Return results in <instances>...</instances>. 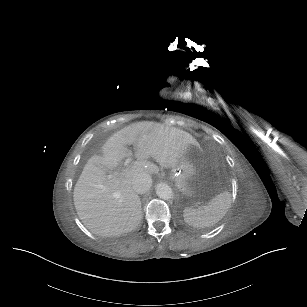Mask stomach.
I'll return each mask as SVG.
<instances>
[{
  "label": "stomach",
  "instance_id": "0dacf381",
  "mask_svg": "<svg viewBox=\"0 0 307 307\" xmlns=\"http://www.w3.org/2000/svg\"><path fill=\"white\" fill-rule=\"evenodd\" d=\"M201 155V148L191 145L188 147L183 159L171 170V178L183 193H189L192 190L197 164Z\"/></svg>",
  "mask_w": 307,
  "mask_h": 307
}]
</instances>
